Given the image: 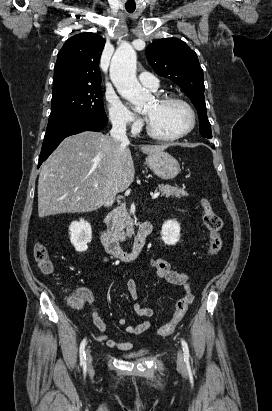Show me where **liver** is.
<instances>
[{"instance_id": "liver-1", "label": "liver", "mask_w": 272, "mask_h": 411, "mask_svg": "<svg viewBox=\"0 0 272 411\" xmlns=\"http://www.w3.org/2000/svg\"><path fill=\"white\" fill-rule=\"evenodd\" d=\"M169 146L143 145L140 149L145 154H155ZM134 177V163L127 145L120 146L111 136L98 132L69 136L41 168L39 217L91 212L110 206L115 194L125 191Z\"/></svg>"}]
</instances>
